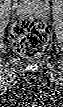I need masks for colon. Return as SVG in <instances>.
<instances>
[{"label": "colon", "mask_w": 63, "mask_h": 107, "mask_svg": "<svg viewBox=\"0 0 63 107\" xmlns=\"http://www.w3.org/2000/svg\"><path fill=\"white\" fill-rule=\"evenodd\" d=\"M10 38L17 52L33 57L43 51L48 42L49 31L42 21L27 18L16 23Z\"/></svg>", "instance_id": "5ec220e1"}]
</instances>
